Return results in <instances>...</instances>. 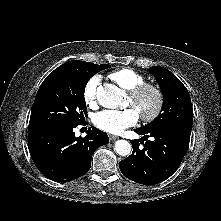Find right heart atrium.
I'll return each mask as SVG.
<instances>
[{
  "label": "right heart atrium",
  "mask_w": 221,
  "mask_h": 221,
  "mask_svg": "<svg viewBox=\"0 0 221 221\" xmlns=\"http://www.w3.org/2000/svg\"><path fill=\"white\" fill-rule=\"evenodd\" d=\"M100 78L99 76L91 77L85 84L83 89V98L89 107H95L98 103Z\"/></svg>",
  "instance_id": "d8ad5b80"
}]
</instances>
